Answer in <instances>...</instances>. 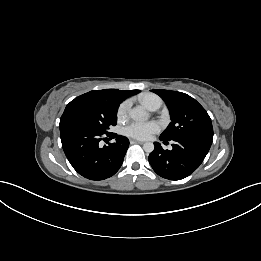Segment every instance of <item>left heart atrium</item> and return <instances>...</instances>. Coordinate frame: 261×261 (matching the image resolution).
<instances>
[{"label": "left heart atrium", "instance_id": "left-heart-atrium-1", "mask_svg": "<svg viewBox=\"0 0 261 261\" xmlns=\"http://www.w3.org/2000/svg\"><path fill=\"white\" fill-rule=\"evenodd\" d=\"M158 129L159 125L156 122H133L126 126L124 133L135 139H147Z\"/></svg>", "mask_w": 261, "mask_h": 261}]
</instances>
